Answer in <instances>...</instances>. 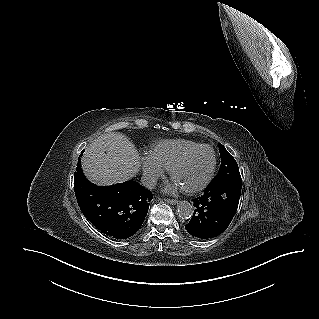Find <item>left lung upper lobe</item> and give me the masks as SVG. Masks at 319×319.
Returning a JSON list of instances; mask_svg holds the SVG:
<instances>
[{
  "label": "left lung upper lobe",
  "instance_id": "obj_1",
  "mask_svg": "<svg viewBox=\"0 0 319 319\" xmlns=\"http://www.w3.org/2000/svg\"><path fill=\"white\" fill-rule=\"evenodd\" d=\"M221 166L218 175L210 183V186L217 185L230 178H241L238 165L235 159L229 154L225 147L219 143Z\"/></svg>",
  "mask_w": 319,
  "mask_h": 319
}]
</instances>
